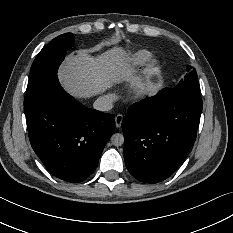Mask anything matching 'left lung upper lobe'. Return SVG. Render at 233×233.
I'll return each mask as SVG.
<instances>
[{"label":"left lung upper lobe","instance_id":"left-lung-upper-lobe-1","mask_svg":"<svg viewBox=\"0 0 233 233\" xmlns=\"http://www.w3.org/2000/svg\"><path fill=\"white\" fill-rule=\"evenodd\" d=\"M187 70L189 71V74L186 75L184 80H180V82L172 88L163 89V92L169 95H183L200 98V87L196 70H191L189 66L187 67Z\"/></svg>","mask_w":233,"mask_h":233}]
</instances>
